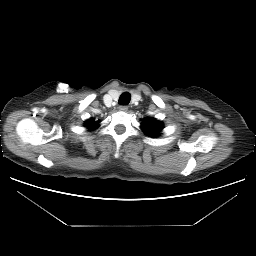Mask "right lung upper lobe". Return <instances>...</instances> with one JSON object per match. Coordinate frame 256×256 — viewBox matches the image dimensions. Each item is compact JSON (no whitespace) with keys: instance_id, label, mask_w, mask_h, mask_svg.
Wrapping results in <instances>:
<instances>
[{"instance_id":"1","label":"right lung upper lobe","mask_w":256,"mask_h":256,"mask_svg":"<svg viewBox=\"0 0 256 256\" xmlns=\"http://www.w3.org/2000/svg\"><path fill=\"white\" fill-rule=\"evenodd\" d=\"M98 121H95V119H93V118H90L89 120H87L86 122H85V124H86V127H89V129L90 130H93V129H95L96 127H98L99 125H98Z\"/></svg>"}]
</instances>
